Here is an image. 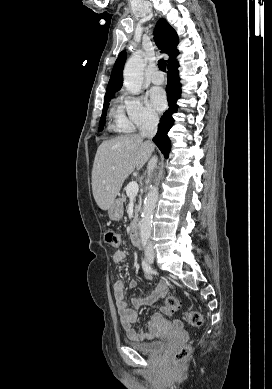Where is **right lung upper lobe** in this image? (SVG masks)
<instances>
[{"instance_id": "cb5924a9", "label": "right lung upper lobe", "mask_w": 272, "mask_h": 389, "mask_svg": "<svg viewBox=\"0 0 272 389\" xmlns=\"http://www.w3.org/2000/svg\"><path fill=\"white\" fill-rule=\"evenodd\" d=\"M154 36L157 41L156 44L159 46L162 52L169 55V59L167 60L168 65L174 63L176 61L177 55L179 54L178 50H176L179 39L175 30L165 19L162 18L156 24ZM125 60L126 52L122 51L119 54L113 67L105 96L114 94L121 88L123 84L122 74Z\"/></svg>"}]
</instances>
